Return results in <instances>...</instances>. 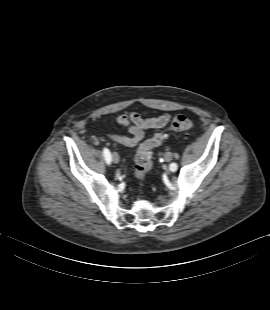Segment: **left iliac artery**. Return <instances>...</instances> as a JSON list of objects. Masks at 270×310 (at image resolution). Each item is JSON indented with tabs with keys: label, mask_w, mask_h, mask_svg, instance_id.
<instances>
[{
	"label": "left iliac artery",
	"mask_w": 270,
	"mask_h": 310,
	"mask_svg": "<svg viewBox=\"0 0 270 310\" xmlns=\"http://www.w3.org/2000/svg\"><path fill=\"white\" fill-rule=\"evenodd\" d=\"M170 169H171L172 171H176V170H177V164H176V163H172V164L170 165Z\"/></svg>",
	"instance_id": "obj_1"
}]
</instances>
